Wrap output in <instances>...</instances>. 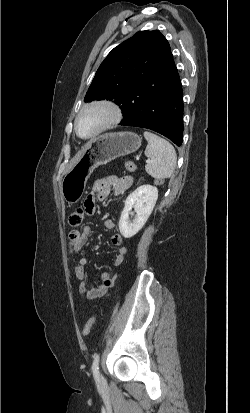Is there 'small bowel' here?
I'll use <instances>...</instances> for the list:
<instances>
[{"mask_svg":"<svg viewBox=\"0 0 250 413\" xmlns=\"http://www.w3.org/2000/svg\"><path fill=\"white\" fill-rule=\"evenodd\" d=\"M132 184V178L130 176H120L117 174H109L102 178L96 179L91 187V192L88 193L84 199V213L90 216L94 212V205L96 200H105L111 192L118 196L127 191ZM104 226L107 229H113L115 222L112 219H106ZM91 227L86 225L80 229H73L69 233L68 243V256L73 260L74 271L77 279L80 281L79 294L88 301H93L103 296L108 288H110L116 279L115 274H111L105 271L100 276V282L96 287L89 288L86 283L85 266L88 264V258L81 255V249L87 243L90 234ZM111 243L115 247V259L114 265L120 266L124 262L127 252L126 247L123 245V237L119 233H115L111 236Z\"/></svg>","mask_w":250,"mask_h":413,"instance_id":"c3829d8e","label":"small bowel"}]
</instances>
